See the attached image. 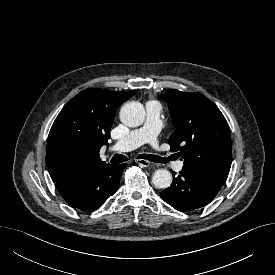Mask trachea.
<instances>
[{"instance_id":"1","label":"trachea","mask_w":275,"mask_h":275,"mask_svg":"<svg viewBox=\"0 0 275 275\" xmlns=\"http://www.w3.org/2000/svg\"><path fill=\"white\" fill-rule=\"evenodd\" d=\"M137 158L146 159V160H149V161L155 162V163H166L167 162L166 158H162L160 156L152 155V154H140V155H138ZM127 160H128V158L125 155L115 154L111 159V163L119 164V163L125 162Z\"/></svg>"}]
</instances>
